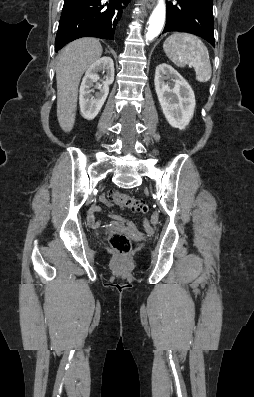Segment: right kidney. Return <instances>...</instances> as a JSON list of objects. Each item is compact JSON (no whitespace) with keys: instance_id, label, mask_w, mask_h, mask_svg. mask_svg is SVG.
Masks as SVG:
<instances>
[{"instance_id":"1","label":"right kidney","mask_w":254,"mask_h":397,"mask_svg":"<svg viewBox=\"0 0 254 397\" xmlns=\"http://www.w3.org/2000/svg\"><path fill=\"white\" fill-rule=\"evenodd\" d=\"M98 72L105 73L102 85H97L99 92H94L93 84L99 80ZM114 81V63L110 57H102L94 62L86 71L80 86L79 104L82 116L93 120L101 110L109 93V85Z\"/></svg>"}]
</instances>
